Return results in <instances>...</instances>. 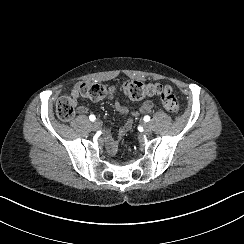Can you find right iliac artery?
<instances>
[{
  "label": "right iliac artery",
  "mask_w": 244,
  "mask_h": 244,
  "mask_svg": "<svg viewBox=\"0 0 244 244\" xmlns=\"http://www.w3.org/2000/svg\"><path fill=\"white\" fill-rule=\"evenodd\" d=\"M89 119H90V121H94L96 118H95L94 115H90V116H89Z\"/></svg>",
  "instance_id": "82829eb1"
}]
</instances>
